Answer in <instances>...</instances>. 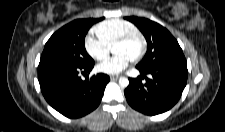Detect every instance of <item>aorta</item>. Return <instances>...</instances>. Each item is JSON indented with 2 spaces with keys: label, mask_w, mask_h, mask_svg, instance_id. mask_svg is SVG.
<instances>
[{
  "label": "aorta",
  "mask_w": 225,
  "mask_h": 132,
  "mask_svg": "<svg viewBox=\"0 0 225 132\" xmlns=\"http://www.w3.org/2000/svg\"><path fill=\"white\" fill-rule=\"evenodd\" d=\"M119 85L122 87V88H126L128 85H129V80L126 78V77H121L119 79Z\"/></svg>",
  "instance_id": "obj_1"
}]
</instances>
